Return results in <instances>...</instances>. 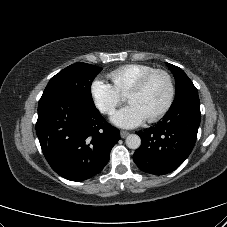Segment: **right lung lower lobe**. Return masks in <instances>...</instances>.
<instances>
[{"label": "right lung lower lobe", "mask_w": 227, "mask_h": 227, "mask_svg": "<svg viewBox=\"0 0 227 227\" xmlns=\"http://www.w3.org/2000/svg\"><path fill=\"white\" fill-rule=\"evenodd\" d=\"M36 133L52 169L73 181L98 174L120 139L119 130L102 117L94 104L67 92L41 97Z\"/></svg>", "instance_id": "98d812e1"}]
</instances>
